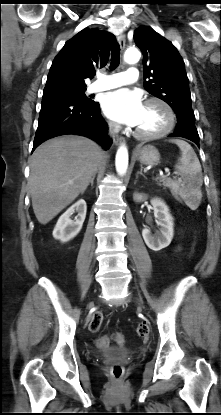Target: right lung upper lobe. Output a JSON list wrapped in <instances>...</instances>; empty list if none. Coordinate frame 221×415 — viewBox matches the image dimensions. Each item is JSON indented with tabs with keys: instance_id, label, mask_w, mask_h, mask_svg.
Instances as JSON below:
<instances>
[{
	"instance_id": "cb5924a9",
	"label": "right lung upper lobe",
	"mask_w": 221,
	"mask_h": 415,
	"mask_svg": "<svg viewBox=\"0 0 221 415\" xmlns=\"http://www.w3.org/2000/svg\"><path fill=\"white\" fill-rule=\"evenodd\" d=\"M114 42L113 34L98 29L85 28L77 33L55 57L43 96L86 88L84 80L107 64Z\"/></svg>"
}]
</instances>
